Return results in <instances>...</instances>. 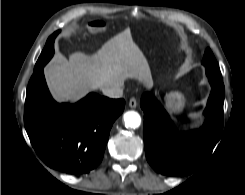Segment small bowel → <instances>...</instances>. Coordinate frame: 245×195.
Segmentation results:
<instances>
[{"label":"small bowel","instance_id":"small-bowel-1","mask_svg":"<svg viewBox=\"0 0 245 195\" xmlns=\"http://www.w3.org/2000/svg\"><path fill=\"white\" fill-rule=\"evenodd\" d=\"M91 26L95 29H103L105 27V23L103 21L100 20H95L91 22Z\"/></svg>","mask_w":245,"mask_h":195}]
</instances>
